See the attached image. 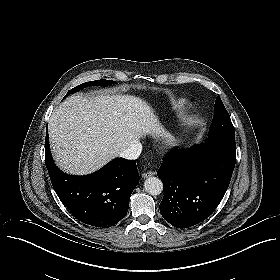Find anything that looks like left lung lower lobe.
<instances>
[{
  "instance_id": "obj_1",
  "label": "left lung lower lobe",
  "mask_w": 280,
  "mask_h": 280,
  "mask_svg": "<svg viewBox=\"0 0 280 280\" xmlns=\"http://www.w3.org/2000/svg\"><path fill=\"white\" fill-rule=\"evenodd\" d=\"M236 162V147L205 143L172 150L157 175L164 185L163 218L177 228L204 221L221 202Z\"/></svg>"
}]
</instances>
